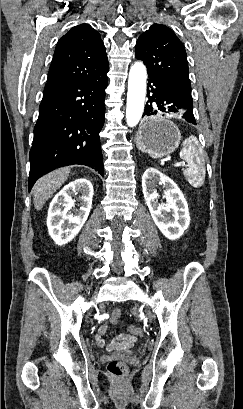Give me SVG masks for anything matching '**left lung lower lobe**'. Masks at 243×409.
<instances>
[{
    "instance_id": "0a47b994",
    "label": "left lung lower lobe",
    "mask_w": 243,
    "mask_h": 409,
    "mask_svg": "<svg viewBox=\"0 0 243 409\" xmlns=\"http://www.w3.org/2000/svg\"><path fill=\"white\" fill-rule=\"evenodd\" d=\"M148 81V103L143 116L156 115L161 112L177 113L187 122L196 125L191 92L156 77L149 76Z\"/></svg>"
}]
</instances>
